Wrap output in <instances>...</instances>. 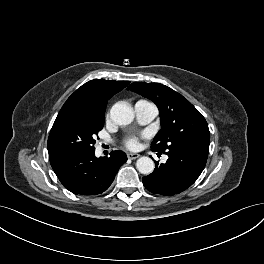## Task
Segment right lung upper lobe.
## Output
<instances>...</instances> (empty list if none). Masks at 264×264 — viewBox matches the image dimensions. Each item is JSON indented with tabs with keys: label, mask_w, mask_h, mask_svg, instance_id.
I'll return each mask as SVG.
<instances>
[{
	"label": "right lung upper lobe",
	"mask_w": 264,
	"mask_h": 264,
	"mask_svg": "<svg viewBox=\"0 0 264 264\" xmlns=\"http://www.w3.org/2000/svg\"><path fill=\"white\" fill-rule=\"evenodd\" d=\"M128 84L129 81L91 80L83 84L68 98L59 114L77 112L104 118L107 101Z\"/></svg>",
	"instance_id": "1"
}]
</instances>
